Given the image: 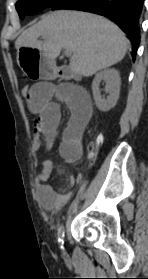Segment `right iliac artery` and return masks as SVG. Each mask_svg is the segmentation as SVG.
<instances>
[{
    "label": "right iliac artery",
    "instance_id": "1",
    "mask_svg": "<svg viewBox=\"0 0 148 279\" xmlns=\"http://www.w3.org/2000/svg\"><path fill=\"white\" fill-rule=\"evenodd\" d=\"M58 242L61 244V249H63V243H64V226L63 225L58 230Z\"/></svg>",
    "mask_w": 148,
    "mask_h": 279
}]
</instances>
